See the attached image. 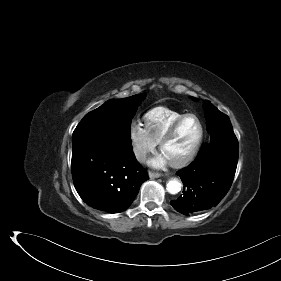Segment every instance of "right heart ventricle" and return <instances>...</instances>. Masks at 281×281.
Segmentation results:
<instances>
[{
  "label": "right heart ventricle",
  "mask_w": 281,
  "mask_h": 281,
  "mask_svg": "<svg viewBox=\"0 0 281 281\" xmlns=\"http://www.w3.org/2000/svg\"><path fill=\"white\" fill-rule=\"evenodd\" d=\"M184 114L163 106L155 107L145 113L144 126L151 138L158 143L169 127Z\"/></svg>",
  "instance_id": "1"
}]
</instances>
